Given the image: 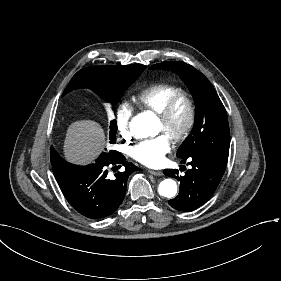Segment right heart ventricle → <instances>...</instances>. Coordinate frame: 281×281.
I'll return each instance as SVG.
<instances>
[{"label":"right heart ventricle","instance_id":"right-heart-ventricle-1","mask_svg":"<svg viewBox=\"0 0 281 281\" xmlns=\"http://www.w3.org/2000/svg\"><path fill=\"white\" fill-rule=\"evenodd\" d=\"M182 93L184 90L179 86L155 84L139 91L134 96V102L138 108L155 113L160 111L170 98Z\"/></svg>","mask_w":281,"mask_h":281}]
</instances>
